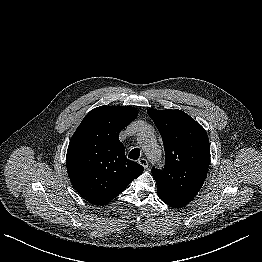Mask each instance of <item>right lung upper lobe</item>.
<instances>
[{
	"instance_id": "obj_1",
	"label": "right lung upper lobe",
	"mask_w": 262,
	"mask_h": 262,
	"mask_svg": "<svg viewBox=\"0 0 262 262\" xmlns=\"http://www.w3.org/2000/svg\"><path fill=\"white\" fill-rule=\"evenodd\" d=\"M138 115L130 106L91 110L74 132L66 156L68 176L90 203L103 205L123 192L144 168L125 156L119 133Z\"/></svg>"
}]
</instances>
